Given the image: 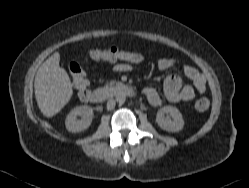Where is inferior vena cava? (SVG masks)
<instances>
[{
  "label": "inferior vena cava",
  "mask_w": 249,
  "mask_h": 188,
  "mask_svg": "<svg viewBox=\"0 0 249 188\" xmlns=\"http://www.w3.org/2000/svg\"><path fill=\"white\" fill-rule=\"evenodd\" d=\"M115 107V101L113 99L108 100L107 102V109L112 110Z\"/></svg>",
  "instance_id": "obj_1"
}]
</instances>
